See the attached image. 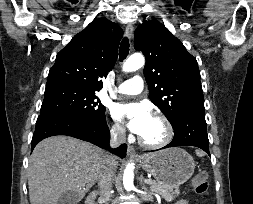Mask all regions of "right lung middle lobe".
<instances>
[{"mask_svg": "<svg viewBox=\"0 0 253 204\" xmlns=\"http://www.w3.org/2000/svg\"><path fill=\"white\" fill-rule=\"evenodd\" d=\"M105 107L95 91L72 84L46 85L40 115H61L101 123Z\"/></svg>", "mask_w": 253, "mask_h": 204, "instance_id": "dd1d6c3e", "label": "right lung middle lobe"}]
</instances>
